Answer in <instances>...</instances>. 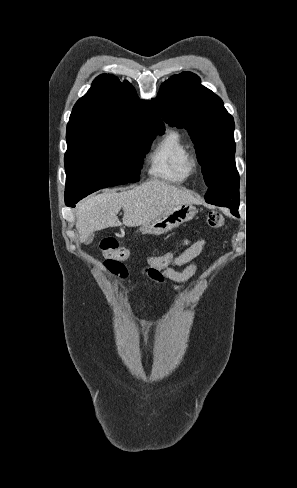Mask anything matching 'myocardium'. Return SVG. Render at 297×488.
Instances as JSON below:
<instances>
[{"label":"myocardium","mask_w":297,"mask_h":488,"mask_svg":"<svg viewBox=\"0 0 297 488\" xmlns=\"http://www.w3.org/2000/svg\"><path fill=\"white\" fill-rule=\"evenodd\" d=\"M186 166L189 173H194L195 171H197V168L199 166V161L197 157L191 154L187 159Z\"/></svg>","instance_id":"myocardium-1"}]
</instances>
